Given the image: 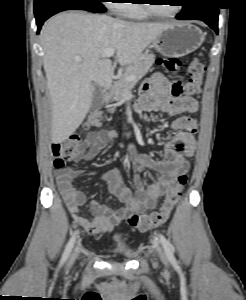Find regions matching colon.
Returning a JSON list of instances; mask_svg holds the SVG:
<instances>
[{"label": "colon", "instance_id": "colon-1", "mask_svg": "<svg viewBox=\"0 0 246 300\" xmlns=\"http://www.w3.org/2000/svg\"><path fill=\"white\" fill-rule=\"evenodd\" d=\"M161 66L168 73L178 72L183 63L175 57L164 58L160 60ZM204 65L194 58L187 67V80L183 90L186 94H196L200 92L203 83ZM103 122L101 112L95 111L88 115L84 122L86 129L99 127ZM82 152L81 138L78 135H72L62 142L53 144L52 153L54 157L53 165L56 169H62L68 162L73 160ZM187 182V175L182 172L171 182L161 207L151 213L133 214L128 218L129 224L140 231H147L158 227L164 223L170 216L173 208L178 203L183 186Z\"/></svg>", "mask_w": 246, "mask_h": 300}]
</instances>
